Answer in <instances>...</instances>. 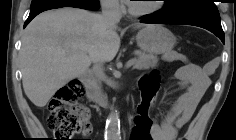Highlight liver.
<instances>
[{
    "label": "liver",
    "mask_w": 236,
    "mask_h": 140,
    "mask_svg": "<svg viewBox=\"0 0 236 140\" xmlns=\"http://www.w3.org/2000/svg\"><path fill=\"white\" fill-rule=\"evenodd\" d=\"M150 26L137 25L136 27ZM117 25L102 15L65 7L35 17L22 36L19 54L26 96L44 107L55 92L95 62L114 59L120 48Z\"/></svg>",
    "instance_id": "liver-1"
}]
</instances>
